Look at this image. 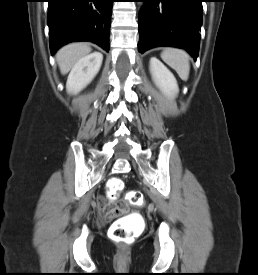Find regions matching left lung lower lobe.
<instances>
[{"instance_id": "0a47b994", "label": "left lung lower lobe", "mask_w": 258, "mask_h": 275, "mask_svg": "<svg viewBox=\"0 0 258 275\" xmlns=\"http://www.w3.org/2000/svg\"><path fill=\"white\" fill-rule=\"evenodd\" d=\"M144 6L139 14L143 53L151 48L170 46L185 49L196 60L202 25V0H139Z\"/></svg>"}]
</instances>
